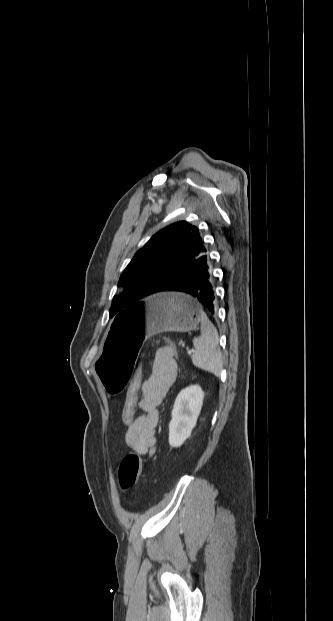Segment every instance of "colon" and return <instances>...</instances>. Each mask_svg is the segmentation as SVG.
I'll list each match as a JSON object with an SVG mask.
<instances>
[{
    "label": "colon",
    "instance_id": "1",
    "mask_svg": "<svg viewBox=\"0 0 333 621\" xmlns=\"http://www.w3.org/2000/svg\"><path fill=\"white\" fill-rule=\"evenodd\" d=\"M141 384L142 371L141 369H137L130 378L122 408V420L126 424L132 423L135 419ZM141 472L142 462L139 455L133 452L127 454L122 459L118 469L120 487L123 490L133 487L137 483Z\"/></svg>",
    "mask_w": 333,
    "mask_h": 621
}]
</instances>
